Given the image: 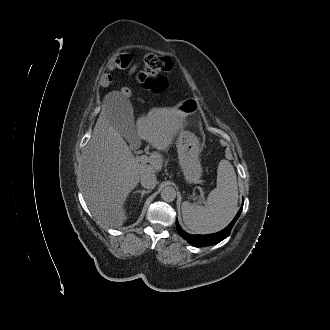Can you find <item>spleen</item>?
I'll list each match as a JSON object with an SVG mask.
<instances>
[{
  "instance_id": "obj_1",
  "label": "spleen",
  "mask_w": 330,
  "mask_h": 330,
  "mask_svg": "<svg viewBox=\"0 0 330 330\" xmlns=\"http://www.w3.org/2000/svg\"><path fill=\"white\" fill-rule=\"evenodd\" d=\"M237 177L232 164L221 160L217 169V185L204 205L184 201L181 205L184 224L197 234H209L225 228L238 210Z\"/></svg>"
}]
</instances>
